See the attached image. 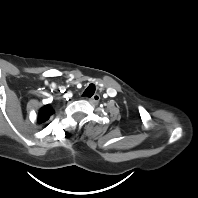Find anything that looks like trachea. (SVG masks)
Masks as SVG:
<instances>
[{
	"instance_id": "3493384b",
	"label": "trachea",
	"mask_w": 198,
	"mask_h": 198,
	"mask_svg": "<svg viewBox=\"0 0 198 198\" xmlns=\"http://www.w3.org/2000/svg\"><path fill=\"white\" fill-rule=\"evenodd\" d=\"M95 93V85L90 84L83 93V96L92 97Z\"/></svg>"
}]
</instances>
